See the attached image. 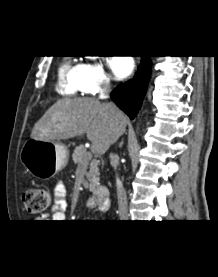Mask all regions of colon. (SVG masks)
<instances>
[{"label": "colon", "mask_w": 218, "mask_h": 277, "mask_svg": "<svg viewBox=\"0 0 218 277\" xmlns=\"http://www.w3.org/2000/svg\"><path fill=\"white\" fill-rule=\"evenodd\" d=\"M22 201L30 214H41L49 207L50 192L45 188H29L23 193Z\"/></svg>", "instance_id": "5ec220e1"}]
</instances>
